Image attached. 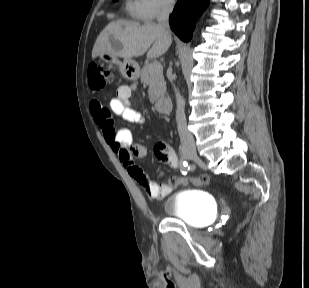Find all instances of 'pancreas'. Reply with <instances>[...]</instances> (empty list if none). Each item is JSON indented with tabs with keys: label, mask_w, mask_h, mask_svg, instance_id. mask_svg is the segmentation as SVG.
Returning a JSON list of instances; mask_svg holds the SVG:
<instances>
[{
	"label": "pancreas",
	"mask_w": 309,
	"mask_h": 288,
	"mask_svg": "<svg viewBox=\"0 0 309 288\" xmlns=\"http://www.w3.org/2000/svg\"><path fill=\"white\" fill-rule=\"evenodd\" d=\"M151 65L152 63H145L141 70L140 79L142 83L149 85V99L151 103H155L164 97L166 92V82L163 77L162 68L152 70Z\"/></svg>",
	"instance_id": "obj_1"
}]
</instances>
